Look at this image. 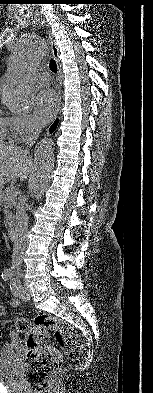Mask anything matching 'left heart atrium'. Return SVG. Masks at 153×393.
Here are the masks:
<instances>
[{
    "mask_svg": "<svg viewBox=\"0 0 153 393\" xmlns=\"http://www.w3.org/2000/svg\"><path fill=\"white\" fill-rule=\"evenodd\" d=\"M59 97L52 89L40 91L34 101V116L40 124L49 122L57 113Z\"/></svg>",
    "mask_w": 153,
    "mask_h": 393,
    "instance_id": "obj_1",
    "label": "left heart atrium"
}]
</instances>
